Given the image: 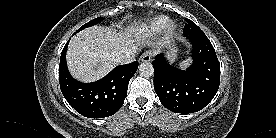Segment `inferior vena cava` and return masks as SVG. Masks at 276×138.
Instances as JSON below:
<instances>
[{
  "label": "inferior vena cava",
  "instance_id": "602c4592",
  "mask_svg": "<svg viewBox=\"0 0 276 138\" xmlns=\"http://www.w3.org/2000/svg\"><path fill=\"white\" fill-rule=\"evenodd\" d=\"M137 48H124L116 53L115 60L119 64H129L134 61Z\"/></svg>",
  "mask_w": 276,
  "mask_h": 138
}]
</instances>
